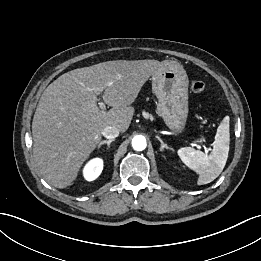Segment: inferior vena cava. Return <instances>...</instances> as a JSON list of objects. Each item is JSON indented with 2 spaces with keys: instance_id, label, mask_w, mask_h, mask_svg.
<instances>
[{
  "instance_id": "inferior-vena-cava-1",
  "label": "inferior vena cava",
  "mask_w": 261,
  "mask_h": 261,
  "mask_svg": "<svg viewBox=\"0 0 261 261\" xmlns=\"http://www.w3.org/2000/svg\"><path fill=\"white\" fill-rule=\"evenodd\" d=\"M102 134L105 138L114 140L119 135V130L117 127L107 126Z\"/></svg>"
}]
</instances>
